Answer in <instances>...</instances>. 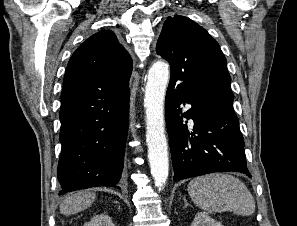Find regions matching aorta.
<instances>
[{
	"mask_svg": "<svg viewBox=\"0 0 297 226\" xmlns=\"http://www.w3.org/2000/svg\"><path fill=\"white\" fill-rule=\"evenodd\" d=\"M169 79V67L155 62L148 72L145 86L146 141L151 175L159 190L164 187L169 174L167 141L164 133V98Z\"/></svg>",
	"mask_w": 297,
	"mask_h": 226,
	"instance_id": "1",
	"label": "aorta"
}]
</instances>
